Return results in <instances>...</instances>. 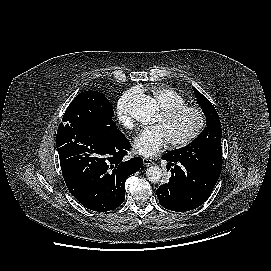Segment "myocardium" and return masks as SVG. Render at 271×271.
I'll return each instance as SVG.
<instances>
[{
    "label": "myocardium",
    "mask_w": 271,
    "mask_h": 271,
    "mask_svg": "<svg viewBox=\"0 0 271 271\" xmlns=\"http://www.w3.org/2000/svg\"><path fill=\"white\" fill-rule=\"evenodd\" d=\"M188 112L193 113L195 115V117L197 119L196 126L185 137L178 139V140H171L170 141L172 146L175 148L185 147L199 137V135L202 133V131L205 128V124H206L205 114L202 111V109H200L199 107L193 106V105H186V104L180 105V106H175V107L165 108V109H162L160 112L161 117L165 120L173 119L175 117L180 116L181 114L188 113Z\"/></svg>",
    "instance_id": "f54148a6"
}]
</instances>
